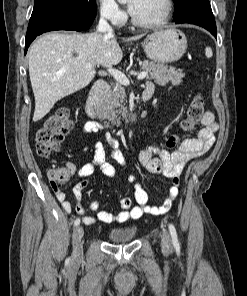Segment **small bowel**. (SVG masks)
<instances>
[{
  "instance_id": "c3829d8e",
  "label": "small bowel",
  "mask_w": 247,
  "mask_h": 296,
  "mask_svg": "<svg viewBox=\"0 0 247 296\" xmlns=\"http://www.w3.org/2000/svg\"><path fill=\"white\" fill-rule=\"evenodd\" d=\"M145 90H153L154 84L147 82ZM202 128L199 130L196 138H187L183 140L179 147L173 151L153 146L142 150L138 159L143 167L153 175L164 176L172 181L168 194L164 198L161 205H150L148 203V194L143 187L138 183L134 176H129V181L134 183V192L132 196H125L120 198L121 211L118 213H111L105 210H100L99 202L95 201L90 204V209L96 211V217L82 216V222L91 225L95 222H103L106 224L124 223L130 220H137L144 215L156 216L162 215L170 210L173 201L178 194L179 177L191 159L206 153L214 143V135L217 131V123L214 114L211 111H206L201 118ZM103 130V126L95 121H88L82 127L84 135H90L95 132ZM94 148V155L88 163L83 165L78 170V175L83 178L76 183L72 188V194L75 198L73 205L68 199L64 191L56 190L55 195L57 200L62 205L67 213L75 211L78 214H83L84 210L81 206V199L83 190L90 184V177L96 170H100L107 177H115L117 171L115 167L110 164L106 157L104 146L96 141H91ZM113 159L123 168H127V160L119 149L118 144L113 141L111 146ZM70 175H73L76 170L73 165L68 167ZM178 179V182L175 180Z\"/></svg>"
}]
</instances>
